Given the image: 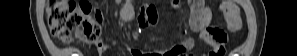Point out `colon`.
<instances>
[{
  "mask_svg": "<svg viewBox=\"0 0 297 56\" xmlns=\"http://www.w3.org/2000/svg\"><path fill=\"white\" fill-rule=\"evenodd\" d=\"M228 3L222 2L220 9L227 12ZM235 16L234 31L241 27L240 17L235 9L231 10ZM47 18L51 34L63 43L73 39H80L87 44L103 46L101 13L87 1L49 0ZM223 51L211 52L210 56H222Z\"/></svg>",
  "mask_w": 297,
  "mask_h": 56,
  "instance_id": "5ec220e1",
  "label": "colon"
}]
</instances>
